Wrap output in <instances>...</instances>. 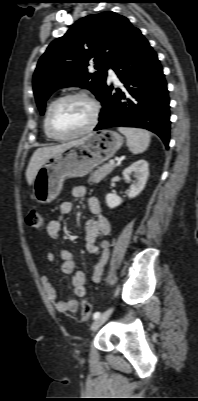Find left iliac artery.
I'll list each match as a JSON object with an SVG mask.
<instances>
[{"instance_id": "obj_1", "label": "left iliac artery", "mask_w": 198, "mask_h": 401, "mask_svg": "<svg viewBox=\"0 0 198 401\" xmlns=\"http://www.w3.org/2000/svg\"><path fill=\"white\" fill-rule=\"evenodd\" d=\"M117 294H118V288H117V290H116V295H117ZM100 315H101V313H100L99 311H97V312H95V313L93 314V318L96 319V318H98Z\"/></svg>"}]
</instances>
